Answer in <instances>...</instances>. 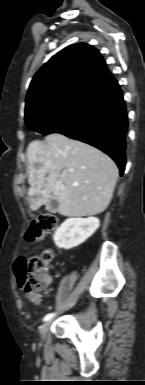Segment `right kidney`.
<instances>
[{
  "label": "right kidney",
  "instance_id": "1",
  "mask_svg": "<svg viewBox=\"0 0 145 385\" xmlns=\"http://www.w3.org/2000/svg\"><path fill=\"white\" fill-rule=\"evenodd\" d=\"M100 221L96 217L69 218L65 220L54 234L58 248L70 250L85 242L98 228Z\"/></svg>",
  "mask_w": 145,
  "mask_h": 385
}]
</instances>
